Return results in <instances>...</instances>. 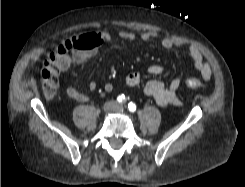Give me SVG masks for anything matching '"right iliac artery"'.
I'll return each instance as SVG.
<instances>
[{
	"instance_id": "right-iliac-artery-1",
	"label": "right iliac artery",
	"mask_w": 245,
	"mask_h": 187,
	"mask_svg": "<svg viewBox=\"0 0 245 187\" xmlns=\"http://www.w3.org/2000/svg\"><path fill=\"white\" fill-rule=\"evenodd\" d=\"M117 101L119 102V103H123V102H125L126 101V97L122 94V95H119L118 97H117Z\"/></svg>"
}]
</instances>
